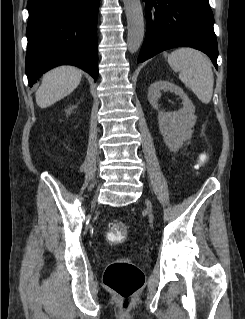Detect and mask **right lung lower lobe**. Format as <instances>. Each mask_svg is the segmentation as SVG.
<instances>
[{
    "instance_id": "obj_1",
    "label": "right lung lower lobe",
    "mask_w": 245,
    "mask_h": 319,
    "mask_svg": "<svg viewBox=\"0 0 245 319\" xmlns=\"http://www.w3.org/2000/svg\"><path fill=\"white\" fill-rule=\"evenodd\" d=\"M100 0H28L26 75L29 86L62 64L98 77L97 14Z\"/></svg>"
}]
</instances>
